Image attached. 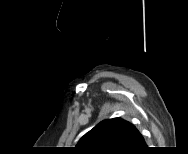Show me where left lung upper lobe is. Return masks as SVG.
Masks as SVG:
<instances>
[{
  "label": "left lung upper lobe",
  "mask_w": 188,
  "mask_h": 154,
  "mask_svg": "<svg viewBox=\"0 0 188 154\" xmlns=\"http://www.w3.org/2000/svg\"><path fill=\"white\" fill-rule=\"evenodd\" d=\"M136 130L121 118L104 120L87 132L76 148L86 154H123L131 150Z\"/></svg>",
  "instance_id": "left-lung-upper-lobe-1"
}]
</instances>
